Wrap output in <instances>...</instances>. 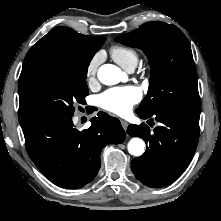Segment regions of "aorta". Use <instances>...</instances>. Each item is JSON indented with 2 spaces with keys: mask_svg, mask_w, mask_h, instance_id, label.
Here are the masks:
<instances>
[{
  "mask_svg": "<svg viewBox=\"0 0 221 221\" xmlns=\"http://www.w3.org/2000/svg\"><path fill=\"white\" fill-rule=\"evenodd\" d=\"M122 76L120 68L112 64H104L98 70V79L105 85L119 83ZM145 143L141 138L134 137L128 143V151L133 156H141L144 153Z\"/></svg>",
  "mask_w": 221,
  "mask_h": 221,
  "instance_id": "obj_1",
  "label": "aorta"
}]
</instances>
